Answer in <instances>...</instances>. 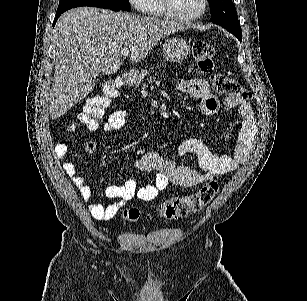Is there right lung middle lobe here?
Instances as JSON below:
<instances>
[{
	"instance_id": "1",
	"label": "right lung middle lobe",
	"mask_w": 307,
	"mask_h": 301,
	"mask_svg": "<svg viewBox=\"0 0 307 301\" xmlns=\"http://www.w3.org/2000/svg\"><path fill=\"white\" fill-rule=\"evenodd\" d=\"M92 6L106 9L130 11L128 0H60L56 14H61L71 8Z\"/></svg>"
}]
</instances>
